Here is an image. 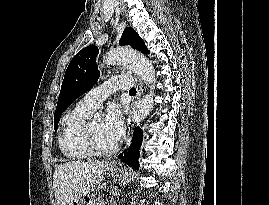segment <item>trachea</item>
<instances>
[{
  "instance_id": "obj_1",
  "label": "trachea",
  "mask_w": 269,
  "mask_h": 205,
  "mask_svg": "<svg viewBox=\"0 0 269 205\" xmlns=\"http://www.w3.org/2000/svg\"><path fill=\"white\" fill-rule=\"evenodd\" d=\"M129 93L133 95L136 94V89L135 88L130 89Z\"/></svg>"
}]
</instances>
